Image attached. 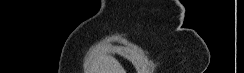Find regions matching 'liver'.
<instances>
[{
    "instance_id": "6515ba94",
    "label": "liver",
    "mask_w": 244,
    "mask_h": 73,
    "mask_svg": "<svg viewBox=\"0 0 244 73\" xmlns=\"http://www.w3.org/2000/svg\"><path fill=\"white\" fill-rule=\"evenodd\" d=\"M97 73H125L122 65L113 57H100L96 64Z\"/></svg>"
}]
</instances>
